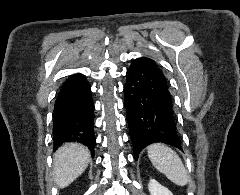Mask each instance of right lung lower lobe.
<instances>
[{
    "label": "right lung lower lobe",
    "mask_w": 240,
    "mask_h": 195,
    "mask_svg": "<svg viewBox=\"0 0 240 195\" xmlns=\"http://www.w3.org/2000/svg\"><path fill=\"white\" fill-rule=\"evenodd\" d=\"M94 103L91 87L82 74H75L61 85L53 113L54 150L64 142L78 141L94 154Z\"/></svg>",
    "instance_id": "1"
}]
</instances>
